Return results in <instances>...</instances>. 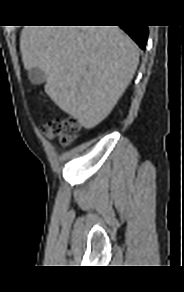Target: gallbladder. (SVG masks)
Listing matches in <instances>:
<instances>
[{"label":"gallbladder","mask_w":184,"mask_h":292,"mask_svg":"<svg viewBox=\"0 0 184 292\" xmlns=\"http://www.w3.org/2000/svg\"><path fill=\"white\" fill-rule=\"evenodd\" d=\"M28 77L31 83L34 85H40L41 83H44L46 80L45 72L37 67L28 70Z\"/></svg>","instance_id":"1"}]
</instances>
